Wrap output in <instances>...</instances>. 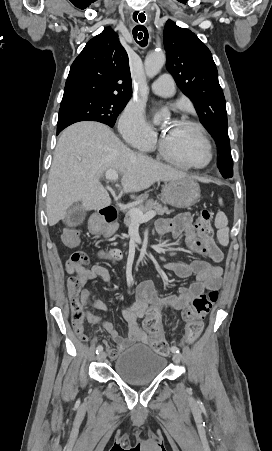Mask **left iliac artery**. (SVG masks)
<instances>
[{"label": "left iliac artery", "instance_id": "obj_1", "mask_svg": "<svg viewBox=\"0 0 272 451\" xmlns=\"http://www.w3.org/2000/svg\"><path fill=\"white\" fill-rule=\"evenodd\" d=\"M171 351H172L173 353H176V354H179V353H180L179 349H178L177 347H175V346L171 347Z\"/></svg>", "mask_w": 272, "mask_h": 451}]
</instances>
